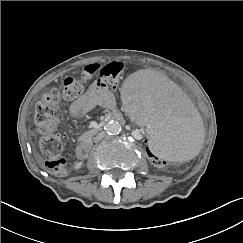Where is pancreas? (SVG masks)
Instances as JSON below:
<instances>
[{
    "mask_svg": "<svg viewBox=\"0 0 243 243\" xmlns=\"http://www.w3.org/2000/svg\"><path fill=\"white\" fill-rule=\"evenodd\" d=\"M96 133V130H90L88 132H85L84 134H82L79 137V141H86V140H90Z\"/></svg>",
    "mask_w": 243,
    "mask_h": 243,
    "instance_id": "pancreas-1",
    "label": "pancreas"
}]
</instances>
